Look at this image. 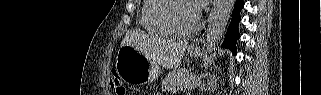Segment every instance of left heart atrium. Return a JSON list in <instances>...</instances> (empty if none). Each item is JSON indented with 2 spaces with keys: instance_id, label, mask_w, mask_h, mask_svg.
<instances>
[{
  "instance_id": "39dd6f15",
  "label": "left heart atrium",
  "mask_w": 321,
  "mask_h": 95,
  "mask_svg": "<svg viewBox=\"0 0 321 95\" xmlns=\"http://www.w3.org/2000/svg\"><path fill=\"white\" fill-rule=\"evenodd\" d=\"M192 4H193V10L195 13H197L205 4L206 1H198V0H194V1H191Z\"/></svg>"
}]
</instances>
